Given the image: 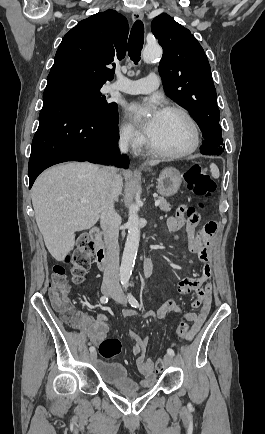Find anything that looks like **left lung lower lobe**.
<instances>
[{"label":"left lung lower lobe","instance_id":"obj_1","mask_svg":"<svg viewBox=\"0 0 265 434\" xmlns=\"http://www.w3.org/2000/svg\"><path fill=\"white\" fill-rule=\"evenodd\" d=\"M224 148L215 147L210 141H204L203 145L200 147L201 153L205 155H220L224 151Z\"/></svg>","mask_w":265,"mask_h":434}]
</instances>
